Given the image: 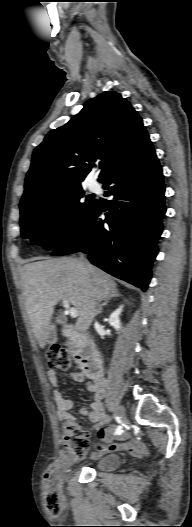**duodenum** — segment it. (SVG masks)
Wrapping results in <instances>:
<instances>
[{"instance_id":"410a0bca","label":"duodenum","mask_w":192,"mask_h":527,"mask_svg":"<svg viewBox=\"0 0 192 527\" xmlns=\"http://www.w3.org/2000/svg\"><path fill=\"white\" fill-rule=\"evenodd\" d=\"M64 333L75 343V355L84 373L102 378L100 356L92 342L70 326L65 328Z\"/></svg>"}]
</instances>
